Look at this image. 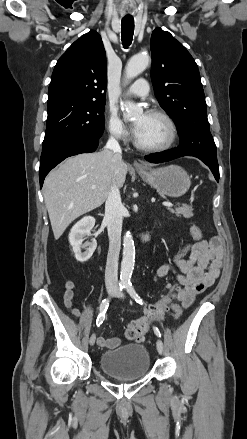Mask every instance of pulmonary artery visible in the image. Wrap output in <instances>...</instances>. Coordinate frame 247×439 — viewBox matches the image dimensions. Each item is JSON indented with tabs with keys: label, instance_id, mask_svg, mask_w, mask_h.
Instances as JSON below:
<instances>
[{
	"label": "pulmonary artery",
	"instance_id": "obj_1",
	"mask_svg": "<svg viewBox=\"0 0 247 439\" xmlns=\"http://www.w3.org/2000/svg\"><path fill=\"white\" fill-rule=\"evenodd\" d=\"M149 92V85L146 80L139 79L135 83H133L129 89L128 94L135 97H145Z\"/></svg>",
	"mask_w": 247,
	"mask_h": 439
}]
</instances>
